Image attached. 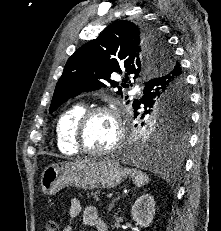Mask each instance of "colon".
<instances>
[{"mask_svg":"<svg viewBox=\"0 0 221 231\" xmlns=\"http://www.w3.org/2000/svg\"><path fill=\"white\" fill-rule=\"evenodd\" d=\"M45 231H60V223L57 219H51L46 223Z\"/></svg>","mask_w":221,"mask_h":231,"instance_id":"1","label":"colon"}]
</instances>
